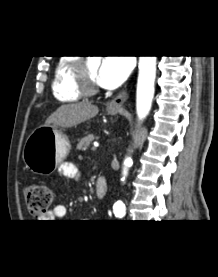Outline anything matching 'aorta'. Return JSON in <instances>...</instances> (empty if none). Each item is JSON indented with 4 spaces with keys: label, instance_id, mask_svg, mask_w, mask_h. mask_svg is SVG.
Wrapping results in <instances>:
<instances>
[{
    "label": "aorta",
    "instance_id": "aorta-1",
    "mask_svg": "<svg viewBox=\"0 0 218 277\" xmlns=\"http://www.w3.org/2000/svg\"><path fill=\"white\" fill-rule=\"evenodd\" d=\"M156 56L139 57V74L136 91V112L138 119L142 121L149 113L154 97V83L156 78ZM124 167L121 181H125L128 169L132 164V159L127 157L124 160ZM125 205L122 201H117L113 206V212L116 217L125 215Z\"/></svg>",
    "mask_w": 218,
    "mask_h": 277
}]
</instances>
